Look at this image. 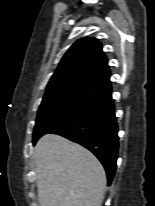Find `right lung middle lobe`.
I'll use <instances>...</instances> for the list:
<instances>
[{
  "label": "right lung middle lobe",
  "mask_w": 155,
  "mask_h": 206,
  "mask_svg": "<svg viewBox=\"0 0 155 206\" xmlns=\"http://www.w3.org/2000/svg\"><path fill=\"white\" fill-rule=\"evenodd\" d=\"M106 96L105 93L88 87L46 91L38 110L33 143L42 135L92 108Z\"/></svg>",
  "instance_id": "obj_1"
}]
</instances>
